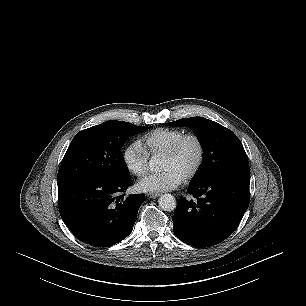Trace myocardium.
Masks as SVG:
<instances>
[{"mask_svg": "<svg viewBox=\"0 0 306 306\" xmlns=\"http://www.w3.org/2000/svg\"><path fill=\"white\" fill-rule=\"evenodd\" d=\"M189 139H193L199 150L198 160L194 168L189 172V174L184 178L183 181L188 182L195 178L201 171L204 161H205V146L201 137L195 133H186L182 135L174 144L162 155V157L172 158L174 157L182 147V145Z\"/></svg>", "mask_w": 306, "mask_h": 306, "instance_id": "1", "label": "myocardium"}]
</instances>
